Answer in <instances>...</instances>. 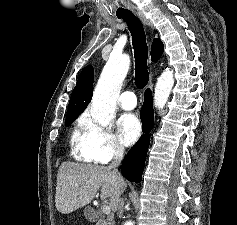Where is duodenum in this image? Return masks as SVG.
<instances>
[{
	"mask_svg": "<svg viewBox=\"0 0 237 225\" xmlns=\"http://www.w3.org/2000/svg\"><path fill=\"white\" fill-rule=\"evenodd\" d=\"M95 225H109L108 222L104 221V220H97L95 222Z\"/></svg>",
	"mask_w": 237,
	"mask_h": 225,
	"instance_id": "1",
	"label": "duodenum"
}]
</instances>
